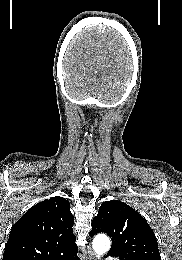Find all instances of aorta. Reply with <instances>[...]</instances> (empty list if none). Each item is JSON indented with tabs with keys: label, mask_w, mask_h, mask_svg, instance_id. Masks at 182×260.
<instances>
[{
	"label": "aorta",
	"mask_w": 182,
	"mask_h": 260,
	"mask_svg": "<svg viewBox=\"0 0 182 260\" xmlns=\"http://www.w3.org/2000/svg\"><path fill=\"white\" fill-rule=\"evenodd\" d=\"M110 245V239L105 234H98L93 239L92 243L93 249L97 254L98 258L108 252V250L110 249Z\"/></svg>",
	"instance_id": "1"
}]
</instances>
